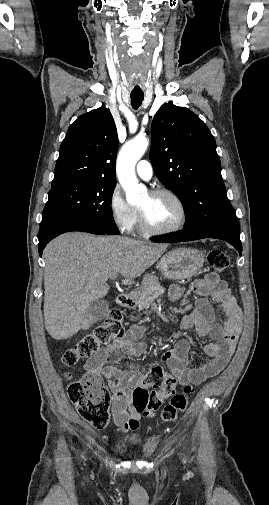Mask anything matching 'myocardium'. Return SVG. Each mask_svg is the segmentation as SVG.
I'll use <instances>...</instances> for the list:
<instances>
[{"label":"myocardium","mask_w":269,"mask_h":505,"mask_svg":"<svg viewBox=\"0 0 269 505\" xmlns=\"http://www.w3.org/2000/svg\"><path fill=\"white\" fill-rule=\"evenodd\" d=\"M150 195H152V196H168V197L172 198L179 206L181 216H180L179 221L175 225L170 226V227H166V228H159V227H155L152 224H150L149 221L147 220L146 216L144 215V213L139 209V220H140V226H141L142 230L145 231L146 233L153 234V235H165V234H170V233H174V232L181 230L185 226V224L188 220V210H187V207H186L184 201L181 199V197L178 194H176L175 192H173L172 190H169L166 188L154 189L150 192Z\"/></svg>","instance_id":"obj_1"}]
</instances>
